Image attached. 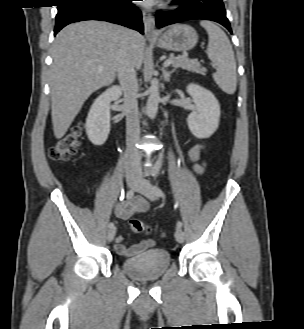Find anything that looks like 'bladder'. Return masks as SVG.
I'll list each match as a JSON object with an SVG mask.
<instances>
[{"mask_svg":"<svg viewBox=\"0 0 304 329\" xmlns=\"http://www.w3.org/2000/svg\"><path fill=\"white\" fill-rule=\"evenodd\" d=\"M171 256L160 249H150L138 256L122 262V267L130 276L137 279H156L169 268Z\"/></svg>","mask_w":304,"mask_h":329,"instance_id":"bladder-1","label":"bladder"}]
</instances>
